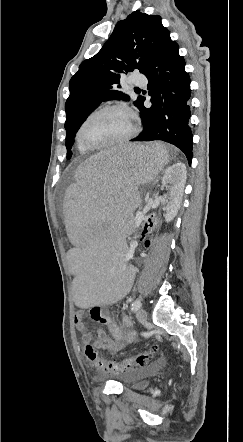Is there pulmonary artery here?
Wrapping results in <instances>:
<instances>
[{"label": "pulmonary artery", "instance_id": "obj_1", "mask_svg": "<svg viewBox=\"0 0 243 442\" xmlns=\"http://www.w3.org/2000/svg\"><path fill=\"white\" fill-rule=\"evenodd\" d=\"M132 82H133L134 85H137V86H143V85H145L147 83L146 79H142V78H139V77H134L132 79Z\"/></svg>", "mask_w": 243, "mask_h": 442}]
</instances>
